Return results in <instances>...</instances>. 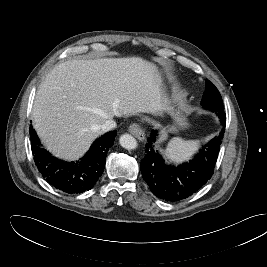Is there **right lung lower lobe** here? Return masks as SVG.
I'll list each match as a JSON object with an SVG mask.
<instances>
[{"mask_svg": "<svg viewBox=\"0 0 267 267\" xmlns=\"http://www.w3.org/2000/svg\"><path fill=\"white\" fill-rule=\"evenodd\" d=\"M115 136L116 131L104 134L80 161L65 162L41 148L36 132L30 127L32 152L38 170L50 185L69 194L82 193L96 184L104 171L106 155Z\"/></svg>", "mask_w": 267, "mask_h": 267, "instance_id": "right-lung-lower-lobe-1", "label": "right lung lower lobe"}]
</instances>
